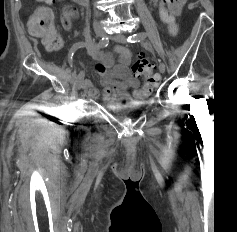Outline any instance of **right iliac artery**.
<instances>
[{
    "mask_svg": "<svg viewBox=\"0 0 237 232\" xmlns=\"http://www.w3.org/2000/svg\"><path fill=\"white\" fill-rule=\"evenodd\" d=\"M109 43V39L108 37H103L99 43L97 44L96 48L97 49H100V48H104L108 45ZM88 46V43L87 42H77L75 44L72 45V47L70 48L69 50V53H68V62L70 64V66L72 67L73 66V56H74V53L79 49V48H82V47H87Z\"/></svg>",
    "mask_w": 237,
    "mask_h": 232,
    "instance_id": "82829eb1",
    "label": "right iliac artery"
}]
</instances>
